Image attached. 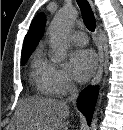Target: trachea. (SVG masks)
Listing matches in <instances>:
<instances>
[{
  "label": "trachea",
  "mask_w": 123,
  "mask_h": 130,
  "mask_svg": "<svg viewBox=\"0 0 123 130\" xmlns=\"http://www.w3.org/2000/svg\"><path fill=\"white\" fill-rule=\"evenodd\" d=\"M83 16L84 23L87 29L91 32L95 31L96 23L93 11L87 0H76Z\"/></svg>",
  "instance_id": "trachea-1"
}]
</instances>
